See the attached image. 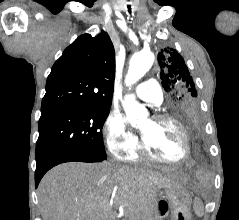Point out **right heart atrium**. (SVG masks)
<instances>
[{
    "instance_id": "1",
    "label": "right heart atrium",
    "mask_w": 239,
    "mask_h": 220,
    "mask_svg": "<svg viewBox=\"0 0 239 220\" xmlns=\"http://www.w3.org/2000/svg\"><path fill=\"white\" fill-rule=\"evenodd\" d=\"M103 135L109 152L116 158L135 149L136 137L128 131L124 116L117 110L107 115L103 125Z\"/></svg>"
}]
</instances>
